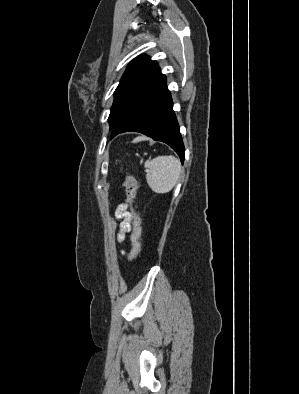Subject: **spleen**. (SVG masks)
Returning <instances> with one entry per match:
<instances>
[{
	"label": "spleen",
	"mask_w": 299,
	"mask_h": 394,
	"mask_svg": "<svg viewBox=\"0 0 299 394\" xmlns=\"http://www.w3.org/2000/svg\"><path fill=\"white\" fill-rule=\"evenodd\" d=\"M146 180L149 187L158 194L170 192L176 185L180 174L181 164L173 156H158L145 162Z\"/></svg>",
	"instance_id": "obj_1"
}]
</instances>
